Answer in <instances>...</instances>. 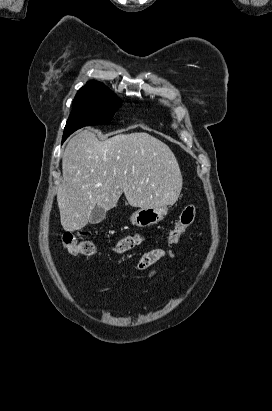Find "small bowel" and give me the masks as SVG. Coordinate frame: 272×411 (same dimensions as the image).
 <instances>
[{"mask_svg": "<svg viewBox=\"0 0 272 411\" xmlns=\"http://www.w3.org/2000/svg\"><path fill=\"white\" fill-rule=\"evenodd\" d=\"M144 241V236L140 234L128 235L121 239L116 245L114 250L118 253L125 252L132 249L133 247L139 245ZM175 256L172 251L164 250L160 248L152 249L145 252L139 261L136 263L137 270H146L153 266L154 264L166 259H173ZM155 272L151 271L148 276H152Z\"/></svg>", "mask_w": 272, "mask_h": 411, "instance_id": "1", "label": "small bowel"}]
</instances>
